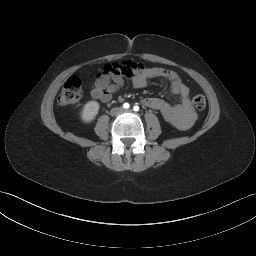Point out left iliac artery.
<instances>
[{
	"label": "left iliac artery",
	"mask_w": 256,
	"mask_h": 256,
	"mask_svg": "<svg viewBox=\"0 0 256 256\" xmlns=\"http://www.w3.org/2000/svg\"><path fill=\"white\" fill-rule=\"evenodd\" d=\"M133 110H134V111H139V106L135 105V106L133 107Z\"/></svg>",
	"instance_id": "44dca946"
}]
</instances>
